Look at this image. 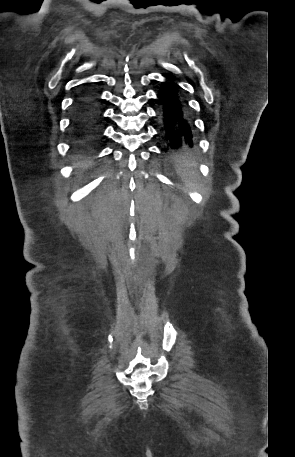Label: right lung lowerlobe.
Here are the masks:
<instances>
[{
	"label": "right lung lower lobe",
	"instance_id": "98d812e1",
	"mask_svg": "<svg viewBox=\"0 0 295 457\" xmlns=\"http://www.w3.org/2000/svg\"><path fill=\"white\" fill-rule=\"evenodd\" d=\"M96 95L90 91H82L75 103L76 120L86 130L85 143L92 146L95 141V133L91 132L97 119Z\"/></svg>",
	"mask_w": 295,
	"mask_h": 457
}]
</instances>
